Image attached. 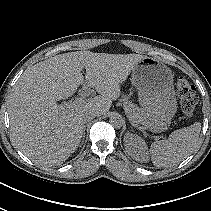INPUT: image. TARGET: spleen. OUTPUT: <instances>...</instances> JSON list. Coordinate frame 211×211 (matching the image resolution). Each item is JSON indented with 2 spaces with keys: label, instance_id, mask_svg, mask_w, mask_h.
Masks as SVG:
<instances>
[{
  "label": "spleen",
  "instance_id": "obj_1",
  "mask_svg": "<svg viewBox=\"0 0 211 211\" xmlns=\"http://www.w3.org/2000/svg\"><path fill=\"white\" fill-rule=\"evenodd\" d=\"M201 124L194 123L172 132L168 139L155 141L150 147L153 164L157 167H169L184 160L197 147Z\"/></svg>",
  "mask_w": 211,
  "mask_h": 211
}]
</instances>
